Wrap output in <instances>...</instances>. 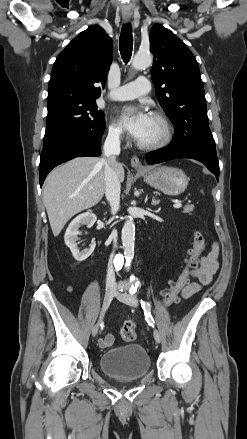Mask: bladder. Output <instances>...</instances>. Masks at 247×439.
<instances>
[{
  "instance_id": "bladder-1",
  "label": "bladder",
  "mask_w": 247,
  "mask_h": 439,
  "mask_svg": "<svg viewBox=\"0 0 247 439\" xmlns=\"http://www.w3.org/2000/svg\"><path fill=\"white\" fill-rule=\"evenodd\" d=\"M150 357L139 344H129L107 350L100 356L101 370L119 381H133L150 370Z\"/></svg>"
}]
</instances>
